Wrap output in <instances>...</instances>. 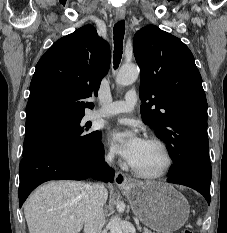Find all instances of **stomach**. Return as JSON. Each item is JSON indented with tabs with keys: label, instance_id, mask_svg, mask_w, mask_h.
Returning <instances> with one entry per match:
<instances>
[{
	"label": "stomach",
	"instance_id": "stomach-1",
	"mask_svg": "<svg viewBox=\"0 0 227 233\" xmlns=\"http://www.w3.org/2000/svg\"><path fill=\"white\" fill-rule=\"evenodd\" d=\"M133 213L148 228L172 233L188 220L189 204L172 185L163 182H135L122 188Z\"/></svg>",
	"mask_w": 227,
	"mask_h": 233
}]
</instances>
